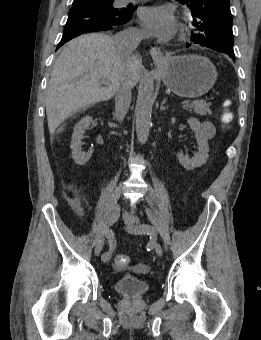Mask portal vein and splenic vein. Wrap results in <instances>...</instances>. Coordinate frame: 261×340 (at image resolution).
Segmentation results:
<instances>
[{
	"label": "portal vein and splenic vein",
	"mask_w": 261,
	"mask_h": 340,
	"mask_svg": "<svg viewBox=\"0 0 261 340\" xmlns=\"http://www.w3.org/2000/svg\"><path fill=\"white\" fill-rule=\"evenodd\" d=\"M190 102H191L190 100H183V101H181L180 104L185 106V105L189 104Z\"/></svg>",
	"instance_id": "portal-vein-and-splenic-vein-1"
}]
</instances>
